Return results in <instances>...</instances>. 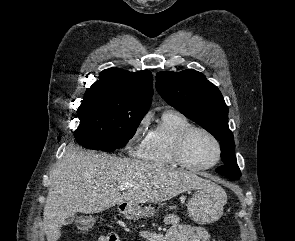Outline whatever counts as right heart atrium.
Instances as JSON below:
<instances>
[{
  "label": "right heart atrium",
  "instance_id": "1",
  "mask_svg": "<svg viewBox=\"0 0 295 241\" xmlns=\"http://www.w3.org/2000/svg\"><path fill=\"white\" fill-rule=\"evenodd\" d=\"M149 119H150V114L147 113L145 115H143L139 121L137 122L134 130H133V133H132V136L129 140V143H128V148L131 149L133 147V144L140 138L144 137L146 132H147V129H148V124H149Z\"/></svg>",
  "mask_w": 295,
  "mask_h": 241
}]
</instances>
